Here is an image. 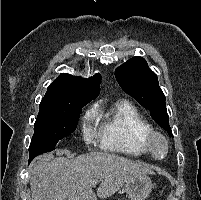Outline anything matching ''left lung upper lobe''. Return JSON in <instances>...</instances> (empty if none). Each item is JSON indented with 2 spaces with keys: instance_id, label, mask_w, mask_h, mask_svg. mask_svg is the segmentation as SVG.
Here are the masks:
<instances>
[{
  "instance_id": "1",
  "label": "left lung upper lobe",
  "mask_w": 201,
  "mask_h": 200,
  "mask_svg": "<svg viewBox=\"0 0 201 200\" xmlns=\"http://www.w3.org/2000/svg\"><path fill=\"white\" fill-rule=\"evenodd\" d=\"M115 77L121 88L148 109L151 117L173 137L168 123L165 95L157 75L142 57H133L118 67Z\"/></svg>"
}]
</instances>
